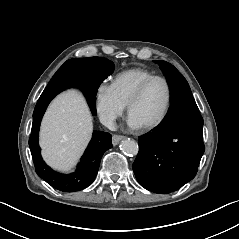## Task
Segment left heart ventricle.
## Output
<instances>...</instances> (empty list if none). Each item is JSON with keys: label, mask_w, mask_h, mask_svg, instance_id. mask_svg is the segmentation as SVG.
<instances>
[{"label": "left heart ventricle", "mask_w": 239, "mask_h": 239, "mask_svg": "<svg viewBox=\"0 0 239 239\" xmlns=\"http://www.w3.org/2000/svg\"><path fill=\"white\" fill-rule=\"evenodd\" d=\"M167 101V88L163 81L152 82L133 107L131 115L143 126L157 120Z\"/></svg>", "instance_id": "left-heart-ventricle-1"}]
</instances>
